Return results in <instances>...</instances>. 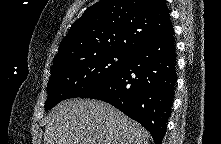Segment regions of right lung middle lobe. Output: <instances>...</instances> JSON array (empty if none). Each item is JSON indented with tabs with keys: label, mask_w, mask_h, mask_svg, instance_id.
Returning <instances> with one entry per match:
<instances>
[{
	"label": "right lung middle lobe",
	"mask_w": 221,
	"mask_h": 144,
	"mask_svg": "<svg viewBox=\"0 0 221 144\" xmlns=\"http://www.w3.org/2000/svg\"><path fill=\"white\" fill-rule=\"evenodd\" d=\"M129 55L105 52L53 68L47 84L45 109L53 108L62 100L80 97L109 80L124 66Z\"/></svg>",
	"instance_id": "1"
}]
</instances>
